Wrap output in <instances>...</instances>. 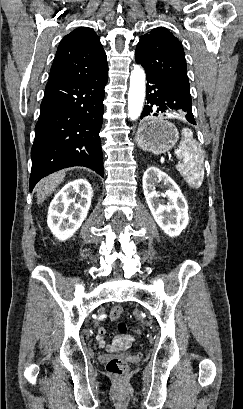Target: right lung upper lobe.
<instances>
[{
    "label": "right lung upper lobe",
    "instance_id": "cb5924a9",
    "mask_svg": "<svg viewBox=\"0 0 243 409\" xmlns=\"http://www.w3.org/2000/svg\"><path fill=\"white\" fill-rule=\"evenodd\" d=\"M108 68L100 38L90 28H77L60 42L49 76L50 81L85 80Z\"/></svg>",
    "mask_w": 243,
    "mask_h": 409
}]
</instances>
